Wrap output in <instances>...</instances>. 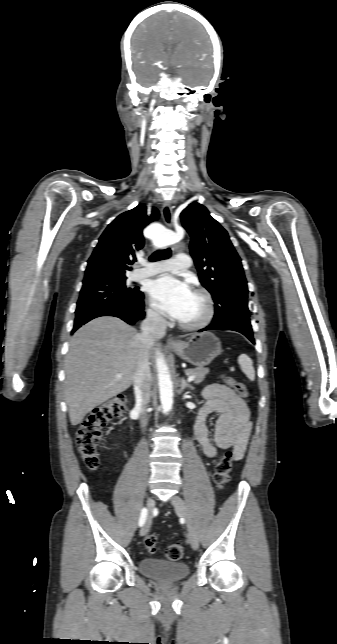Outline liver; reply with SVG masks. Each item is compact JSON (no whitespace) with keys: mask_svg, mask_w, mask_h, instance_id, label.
<instances>
[{"mask_svg":"<svg viewBox=\"0 0 337 644\" xmlns=\"http://www.w3.org/2000/svg\"><path fill=\"white\" fill-rule=\"evenodd\" d=\"M143 350L137 330L116 317L93 319L75 332L65 359V400L73 426L130 387Z\"/></svg>","mask_w":337,"mask_h":644,"instance_id":"1","label":"liver"}]
</instances>
